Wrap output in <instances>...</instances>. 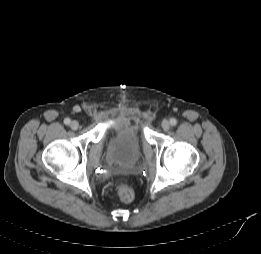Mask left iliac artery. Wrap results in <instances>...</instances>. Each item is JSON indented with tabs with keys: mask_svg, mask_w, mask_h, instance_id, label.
Listing matches in <instances>:
<instances>
[{
	"mask_svg": "<svg viewBox=\"0 0 261 254\" xmlns=\"http://www.w3.org/2000/svg\"><path fill=\"white\" fill-rule=\"evenodd\" d=\"M170 124H171L172 126H175V125L177 124V120H176L175 118H171V119H170Z\"/></svg>",
	"mask_w": 261,
	"mask_h": 254,
	"instance_id": "44dca946",
	"label": "left iliac artery"
}]
</instances>
